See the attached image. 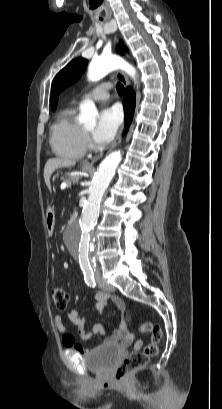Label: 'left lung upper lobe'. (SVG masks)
<instances>
[{
    "label": "left lung upper lobe",
    "mask_w": 222,
    "mask_h": 409,
    "mask_svg": "<svg viewBox=\"0 0 222 409\" xmlns=\"http://www.w3.org/2000/svg\"><path fill=\"white\" fill-rule=\"evenodd\" d=\"M117 51L123 54L122 42L117 45ZM87 63L88 61L84 58H76L55 76L51 87V108L53 111L57 106L60 90L74 83L86 69Z\"/></svg>",
    "instance_id": "left-lung-upper-lobe-1"
}]
</instances>
